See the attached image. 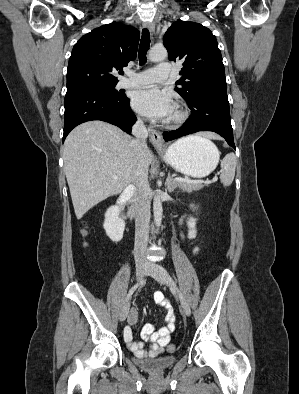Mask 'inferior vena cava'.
Listing matches in <instances>:
<instances>
[{
  "mask_svg": "<svg viewBox=\"0 0 299 394\" xmlns=\"http://www.w3.org/2000/svg\"><path fill=\"white\" fill-rule=\"evenodd\" d=\"M132 133L135 136L133 140L135 148L133 197L136 210L134 258L136 264L147 265L146 249L149 240L150 201L148 198V166L144 159V151L147 148L148 132L142 120L138 119L133 125Z\"/></svg>",
  "mask_w": 299,
  "mask_h": 394,
  "instance_id": "602c4592",
  "label": "inferior vena cava"
}]
</instances>
